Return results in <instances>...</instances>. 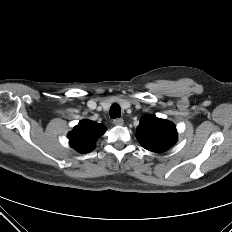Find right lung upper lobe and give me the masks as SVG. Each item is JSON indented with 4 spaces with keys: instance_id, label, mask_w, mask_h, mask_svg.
<instances>
[{
    "instance_id": "obj_1",
    "label": "right lung upper lobe",
    "mask_w": 232,
    "mask_h": 232,
    "mask_svg": "<svg viewBox=\"0 0 232 232\" xmlns=\"http://www.w3.org/2000/svg\"><path fill=\"white\" fill-rule=\"evenodd\" d=\"M105 132L103 125L95 121L82 120L69 133L70 145L80 153L94 149L96 140Z\"/></svg>"
}]
</instances>
